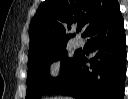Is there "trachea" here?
Instances as JSON below:
<instances>
[{
  "label": "trachea",
  "instance_id": "trachea-1",
  "mask_svg": "<svg viewBox=\"0 0 128 99\" xmlns=\"http://www.w3.org/2000/svg\"><path fill=\"white\" fill-rule=\"evenodd\" d=\"M80 30H81V27L78 28V31H80Z\"/></svg>",
  "mask_w": 128,
  "mask_h": 99
}]
</instances>
